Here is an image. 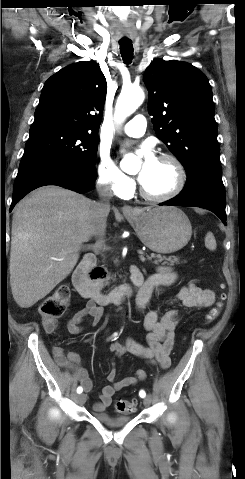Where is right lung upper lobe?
Wrapping results in <instances>:
<instances>
[{"instance_id": "1", "label": "right lung upper lobe", "mask_w": 245, "mask_h": 479, "mask_svg": "<svg viewBox=\"0 0 245 479\" xmlns=\"http://www.w3.org/2000/svg\"><path fill=\"white\" fill-rule=\"evenodd\" d=\"M106 92V79L96 62L66 66L46 81L31 127L61 125L97 133Z\"/></svg>"}]
</instances>
